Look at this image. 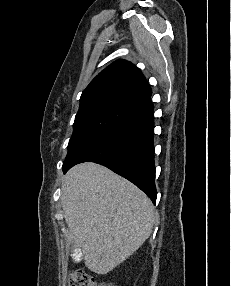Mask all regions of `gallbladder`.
<instances>
[{"instance_id":"1","label":"gallbladder","mask_w":231,"mask_h":286,"mask_svg":"<svg viewBox=\"0 0 231 286\" xmlns=\"http://www.w3.org/2000/svg\"><path fill=\"white\" fill-rule=\"evenodd\" d=\"M72 242H81L80 240H72ZM80 245H72L70 246L72 251V257H73V261L74 263H81V259L82 258V252L80 250H82V247H79Z\"/></svg>"}]
</instances>
